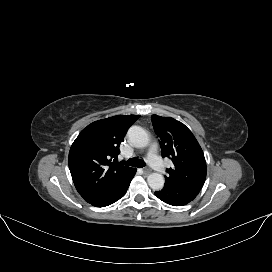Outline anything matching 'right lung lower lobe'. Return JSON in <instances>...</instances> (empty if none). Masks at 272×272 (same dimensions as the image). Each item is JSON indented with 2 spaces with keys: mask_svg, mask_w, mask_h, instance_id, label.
<instances>
[{
  "mask_svg": "<svg viewBox=\"0 0 272 272\" xmlns=\"http://www.w3.org/2000/svg\"><path fill=\"white\" fill-rule=\"evenodd\" d=\"M135 173L136 169L132 173L125 176L123 182L116 185V187L113 190L109 191L100 198L94 200L90 204L96 207H105L122 198L125 195Z\"/></svg>",
  "mask_w": 272,
  "mask_h": 272,
  "instance_id": "98d812e1",
  "label": "right lung lower lobe"
}]
</instances>
